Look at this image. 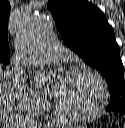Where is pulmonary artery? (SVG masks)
Listing matches in <instances>:
<instances>
[{
	"instance_id": "1",
	"label": "pulmonary artery",
	"mask_w": 125,
	"mask_h": 128,
	"mask_svg": "<svg viewBox=\"0 0 125 128\" xmlns=\"http://www.w3.org/2000/svg\"><path fill=\"white\" fill-rule=\"evenodd\" d=\"M65 53L64 48L57 42L48 41L38 49V57L44 61H57Z\"/></svg>"
}]
</instances>
